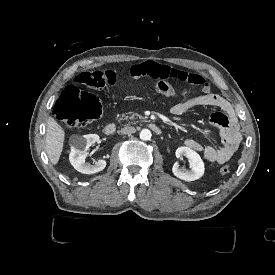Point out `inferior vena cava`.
I'll return each instance as SVG.
<instances>
[{
    "mask_svg": "<svg viewBox=\"0 0 275 275\" xmlns=\"http://www.w3.org/2000/svg\"><path fill=\"white\" fill-rule=\"evenodd\" d=\"M135 132H136L135 127H131V126L124 127L119 131L120 134H133Z\"/></svg>",
    "mask_w": 275,
    "mask_h": 275,
    "instance_id": "602c4592",
    "label": "inferior vena cava"
}]
</instances>
